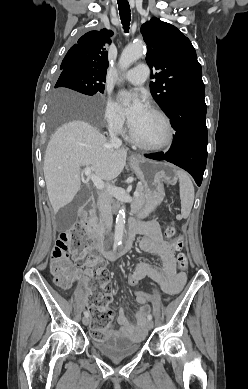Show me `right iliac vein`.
Returning <instances> with one entry per match:
<instances>
[{
    "mask_svg": "<svg viewBox=\"0 0 248 389\" xmlns=\"http://www.w3.org/2000/svg\"><path fill=\"white\" fill-rule=\"evenodd\" d=\"M82 322L85 326H87L90 323V319L88 317H83Z\"/></svg>",
    "mask_w": 248,
    "mask_h": 389,
    "instance_id": "63e3f726",
    "label": "right iliac vein"
}]
</instances>
